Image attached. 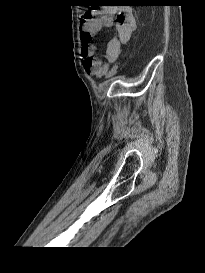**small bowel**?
<instances>
[{
    "label": "small bowel",
    "instance_id": "obj_1",
    "mask_svg": "<svg viewBox=\"0 0 205 273\" xmlns=\"http://www.w3.org/2000/svg\"><path fill=\"white\" fill-rule=\"evenodd\" d=\"M128 9H118L113 6H105L99 11L86 13L80 19V40L82 52V64L86 73L90 76L101 78L107 75L109 63L115 62L123 44L127 43L136 28V22ZM115 22L116 35L109 39L105 47L104 60L94 58L96 46L93 35L104 27H111Z\"/></svg>",
    "mask_w": 205,
    "mask_h": 273
}]
</instances>
